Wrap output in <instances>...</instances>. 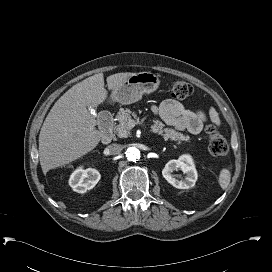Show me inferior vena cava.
Listing matches in <instances>:
<instances>
[{
  "instance_id": "inferior-vena-cava-1",
  "label": "inferior vena cava",
  "mask_w": 272,
  "mask_h": 272,
  "mask_svg": "<svg viewBox=\"0 0 272 272\" xmlns=\"http://www.w3.org/2000/svg\"><path fill=\"white\" fill-rule=\"evenodd\" d=\"M107 150H108L109 154L117 155L122 151V146L120 144L113 143L107 147Z\"/></svg>"
}]
</instances>
